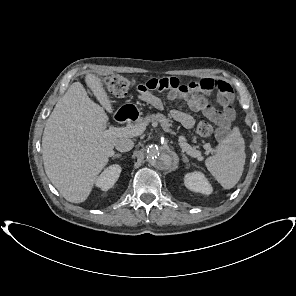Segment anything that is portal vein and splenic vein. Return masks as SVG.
Returning a JSON list of instances; mask_svg holds the SVG:
<instances>
[{
	"label": "portal vein and splenic vein",
	"instance_id": "obj_1",
	"mask_svg": "<svg viewBox=\"0 0 296 296\" xmlns=\"http://www.w3.org/2000/svg\"><path fill=\"white\" fill-rule=\"evenodd\" d=\"M146 124L135 125L130 127H114L110 126L106 130V134L113 135L116 137H134L142 134L145 131ZM180 147L183 151L187 152L188 155L192 157H198L200 153L197 150H194L189 144L180 142Z\"/></svg>",
	"mask_w": 296,
	"mask_h": 296
}]
</instances>
